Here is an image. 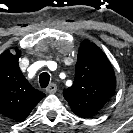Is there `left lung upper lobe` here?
Returning a JSON list of instances; mask_svg holds the SVG:
<instances>
[{"label": "left lung upper lobe", "instance_id": "obj_1", "mask_svg": "<svg viewBox=\"0 0 133 133\" xmlns=\"http://www.w3.org/2000/svg\"><path fill=\"white\" fill-rule=\"evenodd\" d=\"M73 85L63 90L72 111L82 118L96 114L116 87L113 68L104 52L89 41L80 44Z\"/></svg>", "mask_w": 133, "mask_h": 133}]
</instances>
